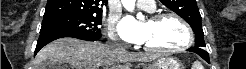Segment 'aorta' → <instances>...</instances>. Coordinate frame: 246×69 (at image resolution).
Listing matches in <instances>:
<instances>
[{
    "label": "aorta",
    "mask_w": 246,
    "mask_h": 69,
    "mask_svg": "<svg viewBox=\"0 0 246 69\" xmlns=\"http://www.w3.org/2000/svg\"><path fill=\"white\" fill-rule=\"evenodd\" d=\"M124 8H126L128 11H133L135 7V0H121ZM138 18H141L142 15H138Z\"/></svg>",
    "instance_id": "aorta-1"
}]
</instances>
